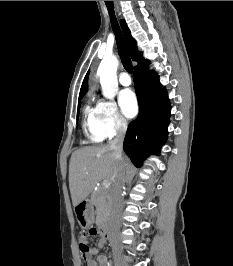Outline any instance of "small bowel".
I'll list each match as a JSON object with an SVG mask.
<instances>
[{"mask_svg": "<svg viewBox=\"0 0 233 266\" xmlns=\"http://www.w3.org/2000/svg\"><path fill=\"white\" fill-rule=\"evenodd\" d=\"M106 243L107 242H105L103 238H101L98 241L97 247L103 248L105 247ZM97 247H90L89 256L84 259V261L86 262V266H108L107 257L104 254H99Z\"/></svg>", "mask_w": 233, "mask_h": 266, "instance_id": "1", "label": "small bowel"}]
</instances>
